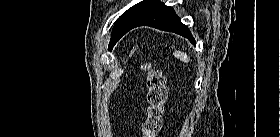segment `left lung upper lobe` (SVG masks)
Here are the masks:
<instances>
[{"mask_svg": "<svg viewBox=\"0 0 280 137\" xmlns=\"http://www.w3.org/2000/svg\"><path fill=\"white\" fill-rule=\"evenodd\" d=\"M159 3V0H143L125 11L114 24L108 47L109 50L114 47L117 41L132 25L140 21L145 15L158 6Z\"/></svg>", "mask_w": 280, "mask_h": 137, "instance_id": "1", "label": "left lung upper lobe"}]
</instances>
